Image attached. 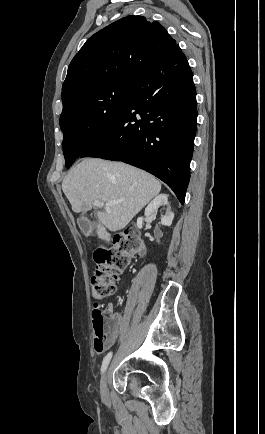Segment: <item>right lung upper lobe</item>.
Instances as JSON below:
<instances>
[{"mask_svg":"<svg viewBox=\"0 0 265 434\" xmlns=\"http://www.w3.org/2000/svg\"><path fill=\"white\" fill-rule=\"evenodd\" d=\"M176 41L157 21L124 17L92 35L71 61L62 94L109 76L137 77Z\"/></svg>","mask_w":265,"mask_h":434,"instance_id":"cb5924a9","label":"right lung upper lobe"}]
</instances>
